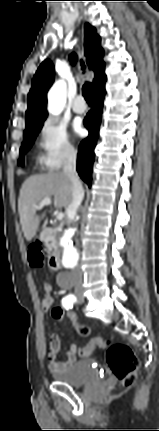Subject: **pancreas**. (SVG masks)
<instances>
[{
	"label": "pancreas",
	"instance_id": "cf45deb5",
	"mask_svg": "<svg viewBox=\"0 0 159 431\" xmlns=\"http://www.w3.org/2000/svg\"><path fill=\"white\" fill-rule=\"evenodd\" d=\"M56 244H57L56 238H55V236H53L51 238V240H50V244L48 245V251L50 252L53 249H55L56 248Z\"/></svg>",
	"mask_w": 159,
	"mask_h": 431
}]
</instances>
